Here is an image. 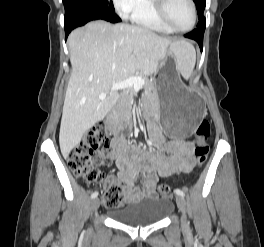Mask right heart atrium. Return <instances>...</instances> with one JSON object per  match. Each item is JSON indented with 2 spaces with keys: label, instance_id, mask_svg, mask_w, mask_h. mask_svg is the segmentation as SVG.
Returning <instances> with one entry per match:
<instances>
[{
  "label": "right heart atrium",
  "instance_id": "right-heart-atrium-1",
  "mask_svg": "<svg viewBox=\"0 0 264 247\" xmlns=\"http://www.w3.org/2000/svg\"><path fill=\"white\" fill-rule=\"evenodd\" d=\"M113 3L122 17H128L136 8L139 0H113Z\"/></svg>",
  "mask_w": 264,
  "mask_h": 247
}]
</instances>
